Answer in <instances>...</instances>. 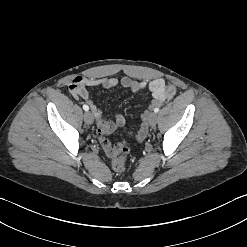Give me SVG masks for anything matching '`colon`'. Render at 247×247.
Segmentation results:
<instances>
[{
    "instance_id": "colon-1",
    "label": "colon",
    "mask_w": 247,
    "mask_h": 247,
    "mask_svg": "<svg viewBox=\"0 0 247 247\" xmlns=\"http://www.w3.org/2000/svg\"><path fill=\"white\" fill-rule=\"evenodd\" d=\"M174 87L170 84L166 85L165 87V94L166 98L170 99L174 95ZM129 153V148L125 143H118L115 147V156L112 161L113 169L118 172L122 173L125 171L127 163L126 158Z\"/></svg>"
}]
</instances>
